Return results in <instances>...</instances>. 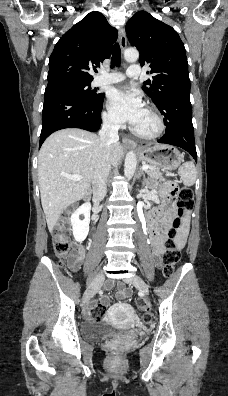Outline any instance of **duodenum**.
I'll return each instance as SVG.
<instances>
[{"mask_svg":"<svg viewBox=\"0 0 228 396\" xmlns=\"http://www.w3.org/2000/svg\"><path fill=\"white\" fill-rule=\"evenodd\" d=\"M88 200H89V196H86L85 201ZM145 222L150 239L152 240L153 236L159 233V227H160L159 221L153 217H146Z\"/></svg>","mask_w":228,"mask_h":396,"instance_id":"1","label":"duodenum"}]
</instances>
